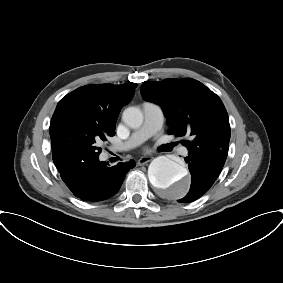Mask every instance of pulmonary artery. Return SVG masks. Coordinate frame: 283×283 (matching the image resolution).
<instances>
[{"instance_id":"e3ab8cb5","label":"pulmonary artery","mask_w":283,"mask_h":283,"mask_svg":"<svg viewBox=\"0 0 283 283\" xmlns=\"http://www.w3.org/2000/svg\"><path fill=\"white\" fill-rule=\"evenodd\" d=\"M142 108L144 112V122L142 126L132 133L125 142L115 146V151L128 150L138 146L162 127L164 115L160 105L152 102H144ZM187 152V148L183 147L181 149L183 155H186Z\"/></svg>"}]
</instances>
